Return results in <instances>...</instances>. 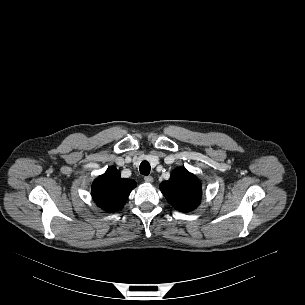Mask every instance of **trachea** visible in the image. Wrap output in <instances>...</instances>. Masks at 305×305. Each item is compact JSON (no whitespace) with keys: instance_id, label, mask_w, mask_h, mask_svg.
I'll return each instance as SVG.
<instances>
[{"instance_id":"obj_1","label":"trachea","mask_w":305,"mask_h":305,"mask_svg":"<svg viewBox=\"0 0 305 305\" xmlns=\"http://www.w3.org/2000/svg\"><path fill=\"white\" fill-rule=\"evenodd\" d=\"M150 169H151L150 164L147 161H143L140 164L139 170L142 175H145V176L149 175Z\"/></svg>"}]
</instances>
